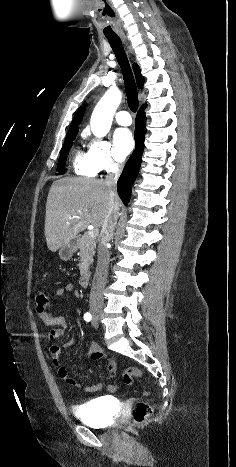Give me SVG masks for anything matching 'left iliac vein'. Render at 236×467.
<instances>
[{
	"instance_id": "4c4485c4",
	"label": "left iliac vein",
	"mask_w": 236,
	"mask_h": 467,
	"mask_svg": "<svg viewBox=\"0 0 236 467\" xmlns=\"http://www.w3.org/2000/svg\"><path fill=\"white\" fill-rule=\"evenodd\" d=\"M92 325H93V327H95V328L98 326V323H97V321H96L95 319L92 321Z\"/></svg>"
}]
</instances>
